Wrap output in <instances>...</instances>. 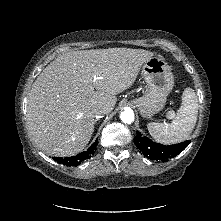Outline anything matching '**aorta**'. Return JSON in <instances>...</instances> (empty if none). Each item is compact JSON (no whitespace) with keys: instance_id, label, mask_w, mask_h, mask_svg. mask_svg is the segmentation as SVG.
<instances>
[{"instance_id":"762f6f07","label":"aorta","mask_w":221,"mask_h":221,"mask_svg":"<svg viewBox=\"0 0 221 221\" xmlns=\"http://www.w3.org/2000/svg\"><path fill=\"white\" fill-rule=\"evenodd\" d=\"M120 119L122 122L131 124L134 121V112L130 108L125 109L120 114Z\"/></svg>"}]
</instances>
